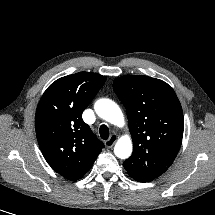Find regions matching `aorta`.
<instances>
[{"label": "aorta", "instance_id": "1", "mask_svg": "<svg viewBox=\"0 0 215 215\" xmlns=\"http://www.w3.org/2000/svg\"><path fill=\"white\" fill-rule=\"evenodd\" d=\"M94 109L102 119L116 126H123V113L114 101L106 98L99 99L96 101ZM114 153L120 159L128 158L132 153L131 139L128 136L121 137L114 147Z\"/></svg>", "mask_w": 215, "mask_h": 215}]
</instances>
